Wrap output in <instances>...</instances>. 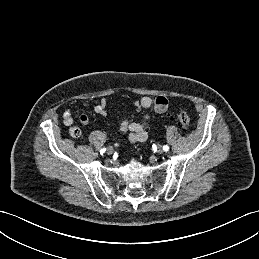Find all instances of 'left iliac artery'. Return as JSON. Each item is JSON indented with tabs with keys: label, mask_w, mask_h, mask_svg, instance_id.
<instances>
[{
	"label": "left iliac artery",
	"mask_w": 259,
	"mask_h": 259,
	"mask_svg": "<svg viewBox=\"0 0 259 259\" xmlns=\"http://www.w3.org/2000/svg\"><path fill=\"white\" fill-rule=\"evenodd\" d=\"M163 149H164V151H168L169 150V146L168 145H164Z\"/></svg>",
	"instance_id": "left-iliac-artery-1"
}]
</instances>
